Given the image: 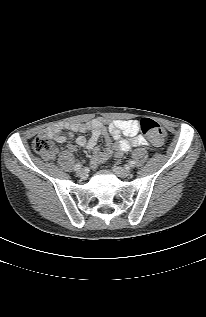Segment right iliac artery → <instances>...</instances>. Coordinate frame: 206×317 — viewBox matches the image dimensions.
Returning a JSON list of instances; mask_svg holds the SVG:
<instances>
[{"label": "right iliac artery", "mask_w": 206, "mask_h": 317, "mask_svg": "<svg viewBox=\"0 0 206 317\" xmlns=\"http://www.w3.org/2000/svg\"><path fill=\"white\" fill-rule=\"evenodd\" d=\"M81 167H82V164L81 163H77V164H75L74 165V170H79V169H81Z\"/></svg>", "instance_id": "1"}]
</instances>
